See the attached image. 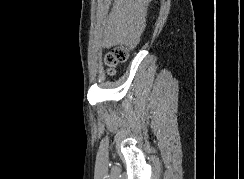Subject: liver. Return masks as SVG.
Instances as JSON below:
<instances>
[{
    "label": "liver",
    "instance_id": "liver-1",
    "mask_svg": "<svg viewBox=\"0 0 244 179\" xmlns=\"http://www.w3.org/2000/svg\"><path fill=\"white\" fill-rule=\"evenodd\" d=\"M151 0H114L104 28V42L111 46H128L133 50L145 28L147 6Z\"/></svg>",
    "mask_w": 244,
    "mask_h": 179
}]
</instances>
